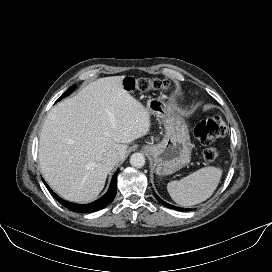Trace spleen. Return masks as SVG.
Wrapping results in <instances>:
<instances>
[{
    "mask_svg": "<svg viewBox=\"0 0 272 272\" xmlns=\"http://www.w3.org/2000/svg\"><path fill=\"white\" fill-rule=\"evenodd\" d=\"M222 176V169L204 167L178 181L167 184L171 198L179 205L192 206L208 198L216 190Z\"/></svg>",
    "mask_w": 272,
    "mask_h": 272,
    "instance_id": "obj_1",
    "label": "spleen"
}]
</instances>
